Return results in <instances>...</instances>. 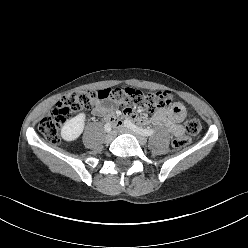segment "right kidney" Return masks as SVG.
<instances>
[{"label":"right kidney","mask_w":248,"mask_h":248,"mask_svg":"<svg viewBox=\"0 0 248 248\" xmlns=\"http://www.w3.org/2000/svg\"><path fill=\"white\" fill-rule=\"evenodd\" d=\"M85 114L79 113L77 116L66 121L61 129V137L67 141H75L79 138L84 130Z\"/></svg>","instance_id":"right-kidney-1"}]
</instances>
